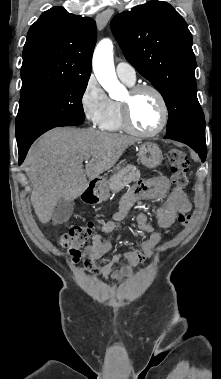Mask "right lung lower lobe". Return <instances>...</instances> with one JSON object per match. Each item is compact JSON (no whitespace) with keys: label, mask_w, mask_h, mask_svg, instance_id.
Listing matches in <instances>:
<instances>
[{"label":"right lung lower lobe","mask_w":221,"mask_h":379,"mask_svg":"<svg viewBox=\"0 0 221 379\" xmlns=\"http://www.w3.org/2000/svg\"><path fill=\"white\" fill-rule=\"evenodd\" d=\"M71 126H73V125H71ZM33 141L34 140H30V141H27L24 143H17L18 144V151H19V164H21L24 161L25 156L28 152V149L31 146V144L33 143Z\"/></svg>","instance_id":"right-lung-lower-lobe-1"}]
</instances>
